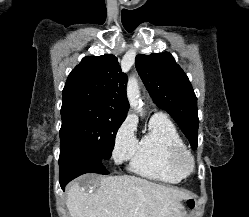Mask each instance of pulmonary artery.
Segmentation results:
<instances>
[{
  "label": "pulmonary artery",
  "mask_w": 249,
  "mask_h": 217,
  "mask_svg": "<svg viewBox=\"0 0 249 217\" xmlns=\"http://www.w3.org/2000/svg\"><path fill=\"white\" fill-rule=\"evenodd\" d=\"M154 115H163V116H166L164 113L162 112H156Z\"/></svg>",
  "instance_id": "obj_1"
}]
</instances>
